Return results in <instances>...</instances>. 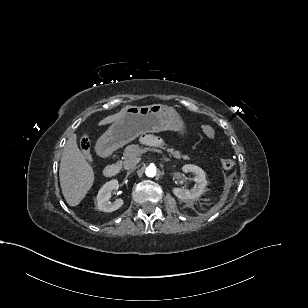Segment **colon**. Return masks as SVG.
Returning a JSON list of instances; mask_svg holds the SVG:
<instances>
[{"instance_id":"colon-1","label":"colon","mask_w":308,"mask_h":308,"mask_svg":"<svg viewBox=\"0 0 308 308\" xmlns=\"http://www.w3.org/2000/svg\"><path fill=\"white\" fill-rule=\"evenodd\" d=\"M202 131L203 133L209 137V138H214L216 136V131L214 130V128H212L209 125H204L202 127ZM80 148L83 152V154L85 155V157L88 160H91V154H90V139L88 137V135L84 134L82 135V137L80 138ZM235 162L233 159L231 158H223L221 160V167L225 170H229L232 169L234 166Z\"/></svg>"}]
</instances>
